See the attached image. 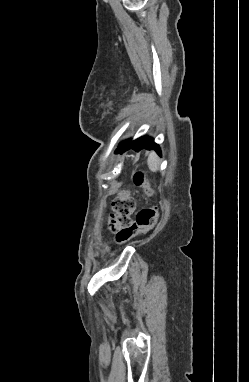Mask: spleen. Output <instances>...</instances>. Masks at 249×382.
<instances>
[{
  "label": "spleen",
  "mask_w": 249,
  "mask_h": 382,
  "mask_svg": "<svg viewBox=\"0 0 249 382\" xmlns=\"http://www.w3.org/2000/svg\"><path fill=\"white\" fill-rule=\"evenodd\" d=\"M147 163H148L149 169L153 172H156L160 165V160L158 155L155 152H150Z\"/></svg>",
  "instance_id": "spleen-1"
}]
</instances>
